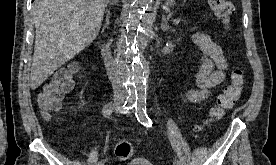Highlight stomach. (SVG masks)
Instances as JSON below:
<instances>
[{
  "mask_svg": "<svg viewBox=\"0 0 276 165\" xmlns=\"http://www.w3.org/2000/svg\"><path fill=\"white\" fill-rule=\"evenodd\" d=\"M175 0H167V6L172 5Z\"/></svg>",
  "mask_w": 276,
  "mask_h": 165,
  "instance_id": "1",
  "label": "stomach"
}]
</instances>
